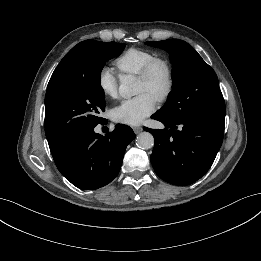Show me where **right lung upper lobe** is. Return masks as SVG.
<instances>
[{
  "mask_svg": "<svg viewBox=\"0 0 261 261\" xmlns=\"http://www.w3.org/2000/svg\"><path fill=\"white\" fill-rule=\"evenodd\" d=\"M71 57V50L64 56V58L61 60L55 71L53 72L51 76V80L62 70L64 69L70 60Z\"/></svg>",
  "mask_w": 261,
  "mask_h": 261,
  "instance_id": "1",
  "label": "right lung upper lobe"
}]
</instances>
